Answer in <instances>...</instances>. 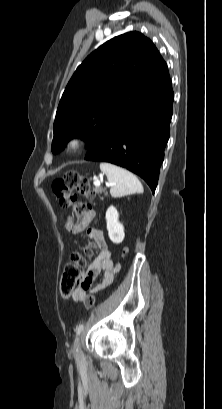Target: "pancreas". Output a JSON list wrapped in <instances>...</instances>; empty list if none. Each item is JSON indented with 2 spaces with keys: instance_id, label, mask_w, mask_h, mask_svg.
<instances>
[{
  "instance_id": "1",
  "label": "pancreas",
  "mask_w": 222,
  "mask_h": 409,
  "mask_svg": "<svg viewBox=\"0 0 222 409\" xmlns=\"http://www.w3.org/2000/svg\"><path fill=\"white\" fill-rule=\"evenodd\" d=\"M94 191H95V193L96 194H107V191L105 190V189H103V188H94Z\"/></svg>"
}]
</instances>
